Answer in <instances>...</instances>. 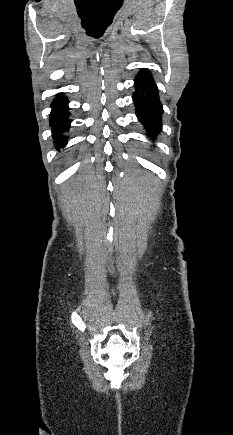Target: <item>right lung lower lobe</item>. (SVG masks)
I'll return each instance as SVG.
<instances>
[{"mask_svg": "<svg viewBox=\"0 0 233 435\" xmlns=\"http://www.w3.org/2000/svg\"><path fill=\"white\" fill-rule=\"evenodd\" d=\"M51 107H53V110L51 111L50 126L52 127L55 144L60 149L67 144L66 136L62 134L68 131L71 123V120L68 119L70 113L67 112L69 109L68 101L62 94H59L52 102Z\"/></svg>", "mask_w": 233, "mask_h": 435, "instance_id": "obj_1", "label": "right lung lower lobe"}]
</instances>
